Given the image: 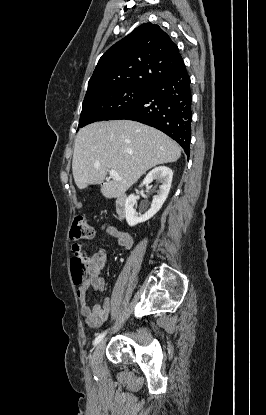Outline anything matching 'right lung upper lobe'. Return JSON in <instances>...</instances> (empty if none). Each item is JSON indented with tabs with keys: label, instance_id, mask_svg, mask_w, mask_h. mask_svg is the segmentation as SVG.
<instances>
[{
	"label": "right lung upper lobe",
	"instance_id": "obj_1",
	"mask_svg": "<svg viewBox=\"0 0 266 415\" xmlns=\"http://www.w3.org/2000/svg\"><path fill=\"white\" fill-rule=\"evenodd\" d=\"M185 68L177 45L160 26L145 23L99 59L86 96L118 87L150 88Z\"/></svg>",
	"mask_w": 266,
	"mask_h": 415
}]
</instances>
